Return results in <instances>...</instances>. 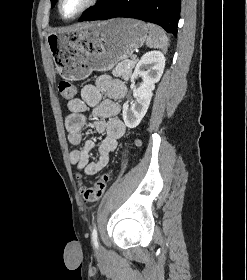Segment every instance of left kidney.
Instances as JSON below:
<instances>
[{"mask_svg":"<svg viewBox=\"0 0 247 280\" xmlns=\"http://www.w3.org/2000/svg\"><path fill=\"white\" fill-rule=\"evenodd\" d=\"M165 56L160 51H149L145 53L135 67L131 77V88L135 100L129 105L127 101L123 105V120L127 127H137L145 116L150 105L155 84L160 80L164 67ZM142 81L135 85V79Z\"/></svg>","mask_w":247,"mask_h":280,"instance_id":"obj_1","label":"left kidney"}]
</instances>
